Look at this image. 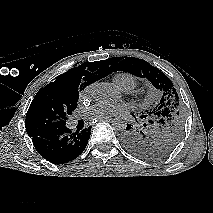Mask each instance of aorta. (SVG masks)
Returning a JSON list of instances; mask_svg holds the SVG:
<instances>
[{
  "label": "aorta",
  "instance_id": "aorta-1",
  "mask_svg": "<svg viewBox=\"0 0 213 213\" xmlns=\"http://www.w3.org/2000/svg\"><path fill=\"white\" fill-rule=\"evenodd\" d=\"M91 95L95 101L103 104L114 103L120 98L119 91L107 83L96 84L92 89ZM112 125L117 131H124L127 123L123 119H115Z\"/></svg>",
  "mask_w": 213,
  "mask_h": 213
}]
</instances>
